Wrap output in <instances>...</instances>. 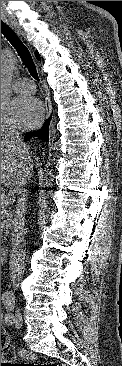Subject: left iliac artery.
I'll return each mask as SVG.
<instances>
[{
  "instance_id": "obj_1",
  "label": "left iliac artery",
  "mask_w": 122,
  "mask_h": 366,
  "mask_svg": "<svg viewBox=\"0 0 122 366\" xmlns=\"http://www.w3.org/2000/svg\"><path fill=\"white\" fill-rule=\"evenodd\" d=\"M6 309H7V314L5 315V321L8 324H12L14 321V316L12 314L13 310H14V301L12 299L5 301L4 302Z\"/></svg>"
}]
</instances>
